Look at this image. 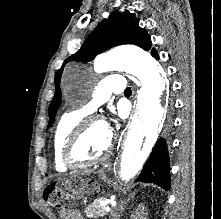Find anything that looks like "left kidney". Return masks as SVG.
Returning a JSON list of instances; mask_svg holds the SVG:
<instances>
[{
	"instance_id": "1",
	"label": "left kidney",
	"mask_w": 221,
	"mask_h": 219,
	"mask_svg": "<svg viewBox=\"0 0 221 219\" xmlns=\"http://www.w3.org/2000/svg\"><path fill=\"white\" fill-rule=\"evenodd\" d=\"M144 205L143 204H140L135 212L134 215H132V219H146V217L144 216L145 213H144Z\"/></svg>"
}]
</instances>
